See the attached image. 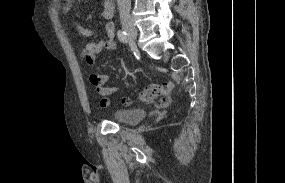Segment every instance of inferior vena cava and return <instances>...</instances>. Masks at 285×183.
Wrapping results in <instances>:
<instances>
[{"instance_id": "1", "label": "inferior vena cava", "mask_w": 285, "mask_h": 183, "mask_svg": "<svg viewBox=\"0 0 285 183\" xmlns=\"http://www.w3.org/2000/svg\"><path fill=\"white\" fill-rule=\"evenodd\" d=\"M120 17H129L131 10V0H117Z\"/></svg>"}]
</instances>
